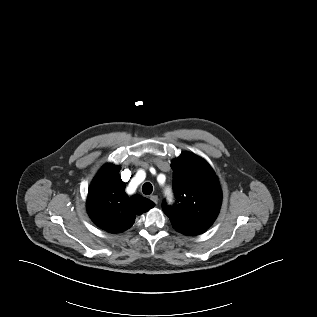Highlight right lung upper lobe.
Wrapping results in <instances>:
<instances>
[{
  "label": "right lung upper lobe",
  "instance_id": "1",
  "mask_svg": "<svg viewBox=\"0 0 317 317\" xmlns=\"http://www.w3.org/2000/svg\"><path fill=\"white\" fill-rule=\"evenodd\" d=\"M119 167L105 164L92 181L87 198V211L92 221L109 233L129 229L136 215L147 212L154 203L140 195L128 197Z\"/></svg>",
  "mask_w": 317,
  "mask_h": 317
}]
</instances>
